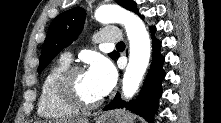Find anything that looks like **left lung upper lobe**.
Masks as SVG:
<instances>
[{
	"label": "left lung upper lobe",
	"mask_w": 221,
	"mask_h": 123,
	"mask_svg": "<svg viewBox=\"0 0 221 123\" xmlns=\"http://www.w3.org/2000/svg\"><path fill=\"white\" fill-rule=\"evenodd\" d=\"M115 1L125 9L138 13L136 3L133 0ZM85 18V10L81 7H75L61 13L53 20L43 44L38 72H41L63 48L77 38L83 28ZM117 55L116 51L109 54L112 59H115Z\"/></svg>",
	"instance_id": "1"
}]
</instances>
